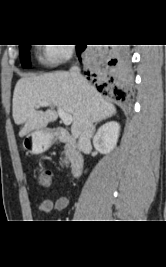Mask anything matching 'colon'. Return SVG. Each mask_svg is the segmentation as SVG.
<instances>
[{
	"label": "colon",
	"instance_id": "colon-1",
	"mask_svg": "<svg viewBox=\"0 0 166 267\" xmlns=\"http://www.w3.org/2000/svg\"><path fill=\"white\" fill-rule=\"evenodd\" d=\"M52 181V176L51 173L48 169H41L38 173V182L41 186L43 187H48L50 186Z\"/></svg>",
	"mask_w": 166,
	"mask_h": 267
}]
</instances>
